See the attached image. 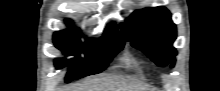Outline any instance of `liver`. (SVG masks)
Masks as SVG:
<instances>
[{
	"label": "liver",
	"mask_w": 220,
	"mask_h": 91,
	"mask_svg": "<svg viewBox=\"0 0 220 91\" xmlns=\"http://www.w3.org/2000/svg\"><path fill=\"white\" fill-rule=\"evenodd\" d=\"M70 91H149V88L118 76H99L86 80Z\"/></svg>",
	"instance_id": "1"
}]
</instances>
